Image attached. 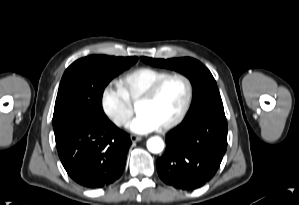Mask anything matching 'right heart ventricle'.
I'll return each mask as SVG.
<instances>
[{"instance_id":"1","label":"right heart ventricle","mask_w":299,"mask_h":205,"mask_svg":"<svg viewBox=\"0 0 299 205\" xmlns=\"http://www.w3.org/2000/svg\"><path fill=\"white\" fill-rule=\"evenodd\" d=\"M167 74L169 72L157 68L139 67L122 75L117 85L128 101L135 103L154 82Z\"/></svg>"}]
</instances>
